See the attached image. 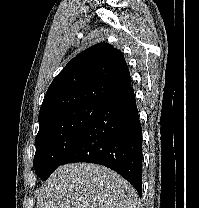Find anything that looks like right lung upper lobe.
<instances>
[{"instance_id": "obj_1", "label": "right lung upper lobe", "mask_w": 199, "mask_h": 208, "mask_svg": "<svg viewBox=\"0 0 199 208\" xmlns=\"http://www.w3.org/2000/svg\"><path fill=\"white\" fill-rule=\"evenodd\" d=\"M131 87L123 54L108 43L91 46L73 58L49 86L39 123L76 107L101 106Z\"/></svg>"}]
</instances>
